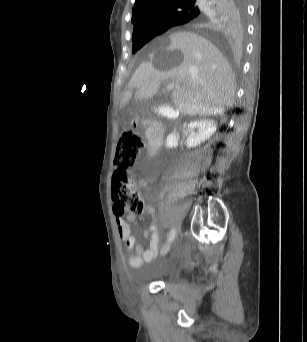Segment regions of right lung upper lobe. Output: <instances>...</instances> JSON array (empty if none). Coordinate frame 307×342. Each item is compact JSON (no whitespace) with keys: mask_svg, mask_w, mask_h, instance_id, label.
<instances>
[{"mask_svg":"<svg viewBox=\"0 0 307 342\" xmlns=\"http://www.w3.org/2000/svg\"><path fill=\"white\" fill-rule=\"evenodd\" d=\"M236 0H136L133 35L188 24L213 39L228 37Z\"/></svg>","mask_w":307,"mask_h":342,"instance_id":"obj_1","label":"right lung upper lobe"}]
</instances>
